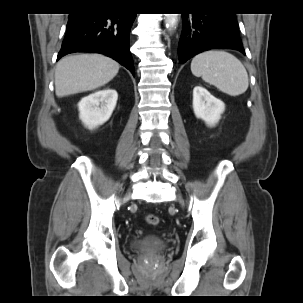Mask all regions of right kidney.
<instances>
[{"mask_svg":"<svg viewBox=\"0 0 303 303\" xmlns=\"http://www.w3.org/2000/svg\"><path fill=\"white\" fill-rule=\"evenodd\" d=\"M118 94L114 89H103L83 97L78 103L79 118L92 130L109 120L115 109Z\"/></svg>","mask_w":303,"mask_h":303,"instance_id":"obj_1","label":"right kidney"}]
</instances>
